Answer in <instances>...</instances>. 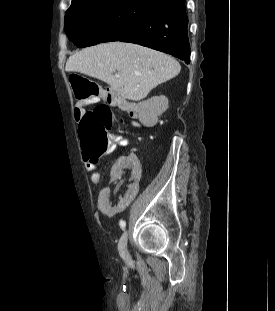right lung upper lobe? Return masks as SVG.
I'll use <instances>...</instances> for the list:
<instances>
[{"label": "right lung upper lobe", "instance_id": "right-lung-upper-lobe-1", "mask_svg": "<svg viewBox=\"0 0 275 311\" xmlns=\"http://www.w3.org/2000/svg\"><path fill=\"white\" fill-rule=\"evenodd\" d=\"M78 1H83V0H72V2H78ZM161 1V3L162 2H167V1H169V0H160Z\"/></svg>", "mask_w": 275, "mask_h": 311}]
</instances>
